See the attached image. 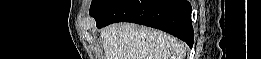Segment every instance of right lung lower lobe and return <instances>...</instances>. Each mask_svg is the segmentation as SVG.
Returning a JSON list of instances; mask_svg holds the SVG:
<instances>
[{"label":"right lung lower lobe","instance_id":"obj_1","mask_svg":"<svg viewBox=\"0 0 261 59\" xmlns=\"http://www.w3.org/2000/svg\"><path fill=\"white\" fill-rule=\"evenodd\" d=\"M191 11L187 0H117L94 18L99 29L115 22H134L172 34L192 47Z\"/></svg>","mask_w":261,"mask_h":59}]
</instances>
